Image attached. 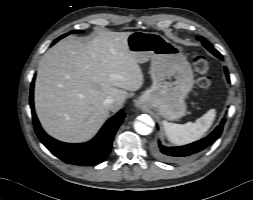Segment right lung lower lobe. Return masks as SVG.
Here are the masks:
<instances>
[{"instance_id": "98d812e1", "label": "right lung lower lobe", "mask_w": 253, "mask_h": 200, "mask_svg": "<svg viewBox=\"0 0 253 200\" xmlns=\"http://www.w3.org/2000/svg\"><path fill=\"white\" fill-rule=\"evenodd\" d=\"M33 88L34 80L31 84L30 105L32 109L34 128L42 143L55 156L69 164L95 165L104 161L111 150L116 130L125 118L124 111L120 110L116 115L111 117L101 128L97 136L89 142L80 144L60 142L48 136L41 128L34 111Z\"/></svg>"}]
</instances>
